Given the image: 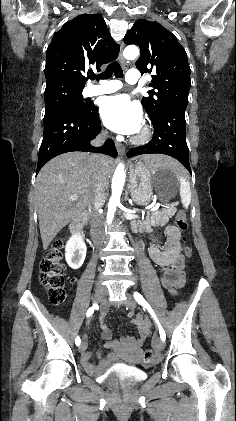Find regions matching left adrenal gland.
<instances>
[{
	"mask_svg": "<svg viewBox=\"0 0 236 421\" xmlns=\"http://www.w3.org/2000/svg\"><path fill=\"white\" fill-rule=\"evenodd\" d=\"M129 196H128V190H126V194H125V200H128Z\"/></svg>",
	"mask_w": 236,
	"mask_h": 421,
	"instance_id": "a2214340",
	"label": "left adrenal gland"
}]
</instances>
